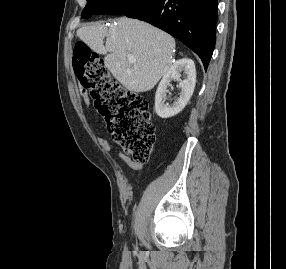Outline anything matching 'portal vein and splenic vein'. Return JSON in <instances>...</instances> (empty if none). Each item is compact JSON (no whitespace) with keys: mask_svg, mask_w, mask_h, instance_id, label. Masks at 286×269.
Listing matches in <instances>:
<instances>
[{"mask_svg":"<svg viewBox=\"0 0 286 269\" xmlns=\"http://www.w3.org/2000/svg\"><path fill=\"white\" fill-rule=\"evenodd\" d=\"M128 60L130 63H134L136 61V59L133 55H128Z\"/></svg>","mask_w":286,"mask_h":269,"instance_id":"portal-vein-and-splenic-vein-1","label":"portal vein and splenic vein"}]
</instances>
